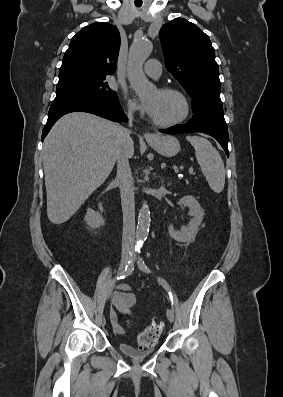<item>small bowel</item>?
Listing matches in <instances>:
<instances>
[{
    "mask_svg": "<svg viewBox=\"0 0 283 397\" xmlns=\"http://www.w3.org/2000/svg\"><path fill=\"white\" fill-rule=\"evenodd\" d=\"M113 306L121 313L133 316V310L136 307L138 300L136 296L131 293V287L128 284H120L118 291L113 294ZM110 321L113 330L116 334H124L126 328L119 324L116 311L112 308L110 311Z\"/></svg>",
    "mask_w": 283,
    "mask_h": 397,
    "instance_id": "obj_1",
    "label": "small bowel"
}]
</instances>
